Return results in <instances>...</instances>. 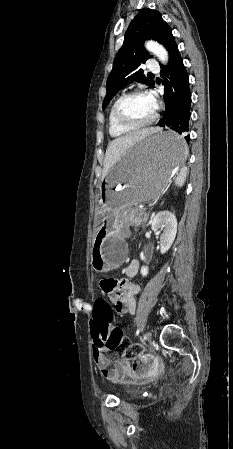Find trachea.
Here are the masks:
<instances>
[{
  "label": "trachea",
  "mask_w": 233,
  "mask_h": 449,
  "mask_svg": "<svg viewBox=\"0 0 233 449\" xmlns=\"http://www.w3.org/2000/svg\"><path fill=\"white\" fill-rule=\"evenodd\" d=\"M149 75L153 76V74H152V73H149Z\"/></svg>",
  "instance_id": "trachea-1"
}]
</instances>
